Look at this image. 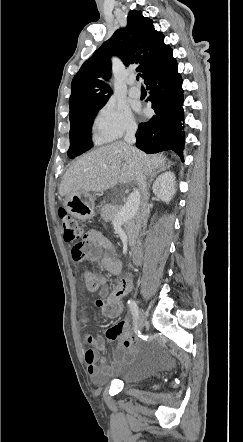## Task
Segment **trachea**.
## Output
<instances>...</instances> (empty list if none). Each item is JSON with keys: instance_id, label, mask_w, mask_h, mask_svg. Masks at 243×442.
<instances>
[{"instance_id": "obj_1", "label": "trachea", "mask_w": 243, "mask_h": 442, "mask_svg": "<svg viewBox=\"0 0 243 442\" xmlns=\"http://www.w3.org/2000/svg\"><path fill=\"white\" fill-rule=\"evenodd\" d=\"M136 79L139 80V74L136 76Z\"/></svg>"}]
</instances>
